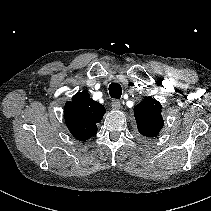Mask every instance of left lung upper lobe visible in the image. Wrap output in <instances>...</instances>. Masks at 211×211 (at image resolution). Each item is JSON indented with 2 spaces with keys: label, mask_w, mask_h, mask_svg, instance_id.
Listing matches in <instances>:
<instances>
[{
  "label": "left lung upper lobe",
  "mask_w": 211,
  "mask_h": 211,
  "mask_svg": "<svg viewBox=\"0 0 211 211\" xmlns=\"http://www.w3.org/2000/svg\"><path fill=\"white\" fill-rule=\"evenodd\" d=\"M162 106L152 97L144 99L134 107L137 128L140 134L146 137H155L163 127L164 120L161 115Z\"/></svg>",
  "instance_id": "obj_1"
}]
</instances>
